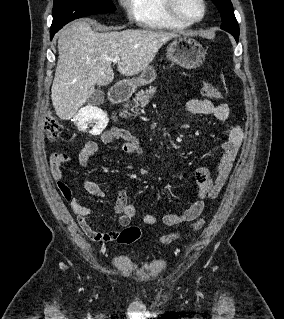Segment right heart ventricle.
<instances>
[{
    "label": "right heart ventricle",
    "mask_w": 284,
    "mask_h": 319,
    "mask_svg": "<svg viewBox=\"0 0 284 319\" xmlns=\"http://www.w3.org/2000/svg\"><path fill=\"white\" fill-rule=\"evenodd\" d=\"M135 20L140 27L146 29L179 30L187 27L170 17L165 8V0H136Z\"/></svg>",
    "instance_id": "obj_1"
}]
</instances>
